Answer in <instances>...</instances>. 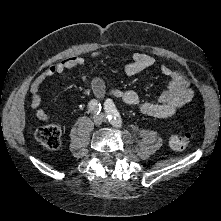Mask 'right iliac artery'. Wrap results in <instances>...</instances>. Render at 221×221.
<instances>
[{"label": "right iliac artery", "mask_w": 221, "mask_h": 221, "mask_svg": "<svg viewBox=\"0 0 221 221\" xmlns=\"http://www.w3.org/2000/svg\"><path fill=\"white\" fill-rule=\"evenodd\" d=\"M101 104L96 100V99H92L89 103H88V109L90 112H93L95 114H99L101 111Z\"/></svg>", "instance_id": "82829eb1"}]
</instances>
